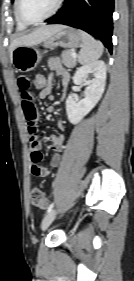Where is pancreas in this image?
<instances>
[{
    "label": "pancreas",
    "mask_w": 134,
    "mask_h": 281,
    "mask_svg": "<svg viewBox=\"0 0 134 281\" xmlns=\"http://www.w3.org/2000/svg\"><path fill=\"white\" fill-rule=\"evenodd\" d=\"M71 54V50H64L61 55L62 63L68 68H73L76 66V58H73Z\"/></svg>",
    "instance_id": "pancreas-1"
}]
</instances>
